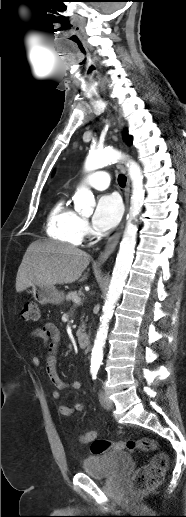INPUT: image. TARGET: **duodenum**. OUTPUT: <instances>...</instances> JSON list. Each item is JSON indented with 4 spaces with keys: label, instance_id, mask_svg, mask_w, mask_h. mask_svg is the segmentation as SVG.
I'll return each instance as SVG.
<instances>
[{
    "label": "duodenum",
    "instance_id": "410a0bca",
    "mask_svg": "<svg viewBox=\"0 0 186 517\" xmlns=\"http://www.w3.org/2000/svg\"><path fill=\"white\" fill-rule=\"evenodd\" d=\"M77 343L80 348H87L89 345V337L86 333L79 331L76 335Z\"/></svg>",
    "mask_w": 186,
    "mask_h": 517
}]
</instances>
